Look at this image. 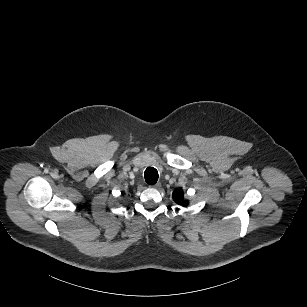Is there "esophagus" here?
Returning a JSON list of instances; mask_svg holds the SVG:
<instances>
[{
  "instance_id": "34e87169",
  "label": "esophagus",
  "mask_w": 307,
  "mask_h": 307,
  "mask_svg": "<svg viewBox=\"0 0 307 307\" xmlns=\"http://www.w3.org/2000/svg\"><path fill=\"white\" fill-rule=\"evenodd\" d=\"M155 189H159L161 187V182H157L155 185L152 186Z\"/></svg>"
}]
</instances>
